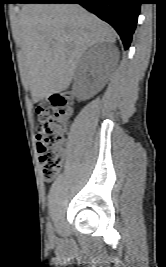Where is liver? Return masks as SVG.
<instances>
[{
  "label": "liver",
  "mask_w": 166,
  "mask_h": 267,
  "mask_svg": "<svg viewBox=\"0 0 166 267\" xmlns=\"http://www.w3.org/2000/svg\"><path fill=\"white\" fill-rule=\"evenodd\" d=\"M15 39L37 103L64 91L87 48L99 42L115 43L116 33L78 4L30 3L21 9Z\"/></svg>",
  "instance_id": "liver-1"
}]
</instances>
